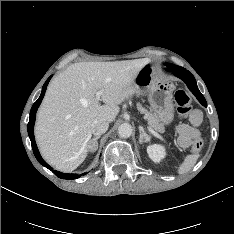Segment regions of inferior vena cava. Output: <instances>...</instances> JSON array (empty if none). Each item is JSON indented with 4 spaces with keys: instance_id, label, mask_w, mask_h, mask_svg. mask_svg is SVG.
Masks as SVG:
<instances>
[{
    "instance_id": "obj_1",
    "label": "inferior vena cava",
    "mask_w": 234,
    "mask_h": 234,
    "mask_svg": "<svg viewBox=\"0 0 234 234\" xmlns=\"http://www.w3.org/2000/svg\"><path fill=\"white\" fill-rule=\"evenodd\" d=\"M109 122L103 119L95 120L91 124V132L92 134L99 136L105 133L108 130Z\"/></svg>"
}]
</instances>
